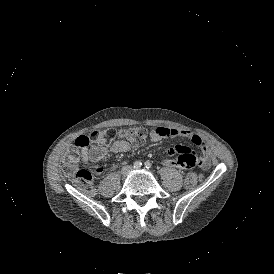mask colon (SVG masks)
Returning a JSON list of instances; mask_svg holds the SVG:
<instances>
[{"label":"colon","instance_id":"5ec220e1","mask_svg":"<svg viewBox=\"0 0 274 274\" xmlns=\"http://www.w3.org/2000/svg\"><path fill=\"white\" fill-rule=\"evenodd\" d=\"M92 135L96 138H102L106 144H110L116 136L119 138L129 139L135 144H141L147 137V131L144 128H131L128 130L107 128L96 131ZM73 138L75 146L70 147L64 159L62 170L64 174L70 177L75 183L89 187V182L93 179L94 174L101 172L102 167H80L76 147H87L89 141L86 133H75ZM202 179L203 175L200 172L195 171L186 176V184L188 187L193 188L198 186Z\"/></svg>","mask_w":274,"mask_h":274}]
</instances>
